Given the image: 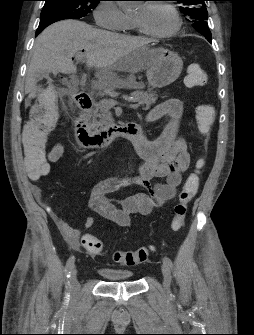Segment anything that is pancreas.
I'll use <instances>...</instances> for the list:
<instances>
[{
	"instance_id": "pancreas-1",
	"label": "pancreas",
	"mask_w": 254,
	"mask_h": 335,
	"mask_svg": "<svg viewBox=\"0 0 254 335\" xmlns=\"http://www.w3.org/2000/svg\"><path fill=\"white\" fill-rule=\"evenodd\" d=\"M133 101L142 105L143 110H149L150 107L157 101V95L154 92H144L137 90L131 93ZM113 122L110 108L104 103L99 101L93 110L92 127L95 129L103 128Z\"/></svg>"
}]
</instances>
